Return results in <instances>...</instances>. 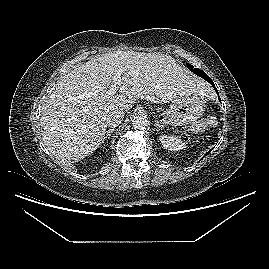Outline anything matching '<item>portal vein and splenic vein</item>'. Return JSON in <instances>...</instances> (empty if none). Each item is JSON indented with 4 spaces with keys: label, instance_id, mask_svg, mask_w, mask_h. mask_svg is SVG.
I'll return each mask as SVG.
<instances>
[{
    "label": "portal vein and splenic vein",
    "instance_id": "1",
    "mask_svg": "<svg viewBox=\"0 0 269 269\" xmlns=\"http://www.w3.org/2000/svg\"><path fill=\"white\" fill-rule=\"evenodd\" d=\"M112 80H113V85H111V87L106 91V94H105L106 97L113 96L117 92L119 86L121 85V71H118L113 76Z\"/></svg>",
    "mask_w": 269,
    "mask_h": 269
}]
</instances>
